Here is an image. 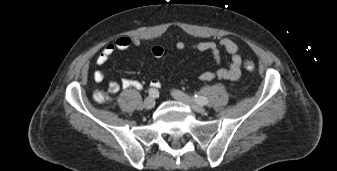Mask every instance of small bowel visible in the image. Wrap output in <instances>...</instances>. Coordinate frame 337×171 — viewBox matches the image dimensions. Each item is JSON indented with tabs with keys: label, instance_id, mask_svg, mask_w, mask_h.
I'll use <instances>...</instances> for the list:
<instances>
[{
	"label": "small bowel",
	"instance_id": "obj_1",
	"mask_svg": "<svg viewBox=\"0 0 337 171\" xmlns=\"http://www.w3.org/2000/svg\"><path fill=\"white\" fill-rule=\"evenodd\" d=\"M141 41L136 37L120 36L114 42L108 43L96 58V63L99 66L106 64L116 51H125L128 49L138 48ZM185 43L179 41L176 43L177 50H184ZM192 49L201 52H210L214 62L220 65L223 61L222 51L230 55L228 67H219L214 71H204L199 74L198 78L201 81L219 80H237L242 74V57L240 54L239 45L232 39L223 38L218 43L213 41H203L192 45ZM151 53L155 57H161L164 53L160 46H153ZM93 78L96 82H103L107 78V74L97 70L93 73ZM151 87L158 89L161 87V82L155 79L151 82ZM142 84L133 79H122L120 82L111 80L108 84V92L111 94L117 93L120 89H141Z\"/></svg>",
	"mask_w": 337,
	"mask_h": 171
}]
</instances>
